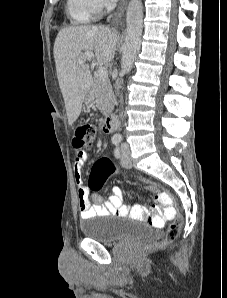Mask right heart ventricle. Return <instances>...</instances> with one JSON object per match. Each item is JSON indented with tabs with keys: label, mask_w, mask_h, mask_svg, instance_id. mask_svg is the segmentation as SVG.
Masks as SVG:
<instances>
[{
	"label": "right heart ventricle",
	"mask_w": 227,
	"mask_h": 298,
	"mask_svg": "<svg viewBox=\"0 0 227 298\" xmlns=\"http://www.w3.org/2000/svg\"><path fill=\"white\" fill-rule=\"evenodd\" d=\"M67 10L79 22H87L91 18V15L81 9L74 0H68Z\"/></svg>",
	"instance_id": "obj_1"
}]
</instances>
